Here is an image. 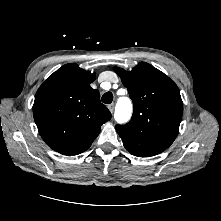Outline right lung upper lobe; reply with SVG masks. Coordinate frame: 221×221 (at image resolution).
Instances as JSON below:
<instances>
[{
    "instance_id": "cb5924a9",
    "label": "right lung upper lobe",
    "mask_w": 221,
    "mask_h": 221,
    "mask_svg": "<svg viewBox=\"0 0 221 221\" xmlns=\"http://www.w3.org/2000/svg\"><path fill=\"white\" fill-rule=\"evenodd\" d=\"M96 74L75 63L62 66L38 89L33 116L39 134L53 150L64 155L86 151L111 113L91 88Z\"/></svg>"
}]
</instances>
